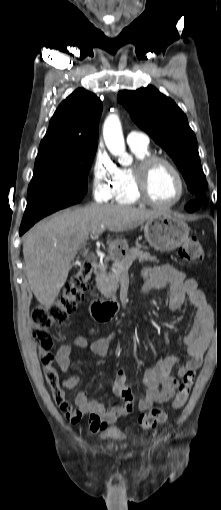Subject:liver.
<instances>
[{"mask_svg": "<svg viewBox=\"0 0 221 510\" xmlns=\"http://www.w3.org/2000/svg\"><path fill=\"white\" fill-rule=\"evenodd\" d=\"M163 212L126 205L91 204L66 210L31 228L24 237L25 272L34 296L50 307L64 286L79 248L101 226L112 232L134 229ZM116 241H107L110 248Z\"/></svg>", "mask_w": 221, "mask_h": 510, "instance_id": "1", "label": "liver"}]
</instances>
